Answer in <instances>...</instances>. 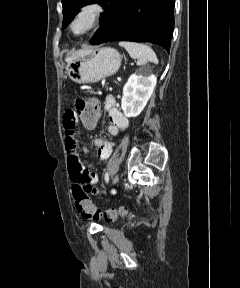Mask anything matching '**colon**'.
Listing matches in <instances>:
<instances>
[{
	"label": "colon",
	"instance_id": "1",
	"mask_svg": "<svg viewBox=\"0 0 240 288\" xmlns=\"http://www.w3.org/2000/svg\"><path fill=\"white\" fill-rule=\"evenodd\" d=\"M75 111L83 124L87 127L95 126L100 119V104L95 98L85 96L77 97L75 100ZM72 193L77 211L85 218L113 221L118 215L127 214V209L124 207H121L118 210H100L92 202L87 191L79 185L73 186Z\"/></svg>",
	"mask_w": 240,
	"mask_h": 288
}]
</instances>
